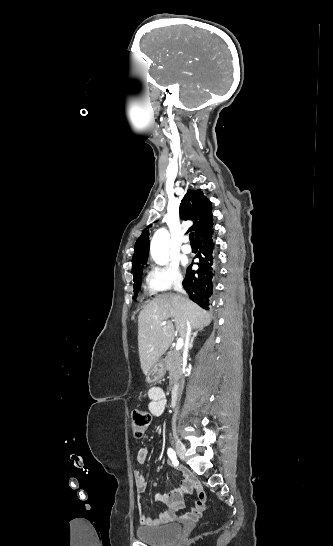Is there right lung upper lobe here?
I'll list each match as a JSON object with an SVG mask.
<instances>
[{"instance_id":"right-lung-upper-lobe-1","label":"right lung upper lobe","mask_w":333,"mask_h":546,"mask_svg":"<svg viewBox=\"0 0 333 546\" xmlns=\"http://www.w3.org/2000/svg\"><path fill=\"white\" fill-rule=\"evenodd\" d=\"M212 206L210 201L199 190H187L183 197L179 213L183 220H192L190 230L195 231V239L213 225ZM149 228V226L147 227ZM149 254V231L145 229L135 244V252L132 259L134 277L142 271Z\"/></svg>"}]
</instances>
